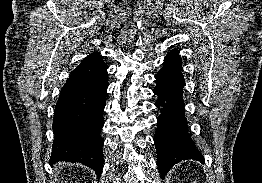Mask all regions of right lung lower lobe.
I'll use <instances>...</instances> for the list:
<instances>
[{
    "instance_id": "obj_1",
    "label": "right lung lower lobe",
    "mask_w": 262,
    "mask_h": 183,
    "mask_svg": "<svg viewBox=\"0 0 262 183\" xmlns=\"http://www.w3.org/2000/svg\"><path fill=\"white\" fill-rule=\"evenodd\" d=\"M108 66L81 62L61 89L55 106L50 163H82L101 174L104 164L103 111L108 88Z\"/></svg>"
}]
</instances>
